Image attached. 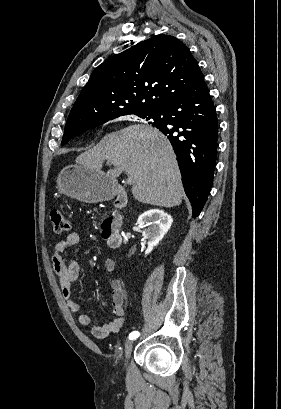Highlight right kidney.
<instances>
[{
  "mask_svg": "<svg viewBox=\"0 0 281 409\" xmlns=\"http://www.w3.org/2000/svg\"><path fill=\"white\" fill-rule=\"evenodd\" d=\"M172 223V217L161 211V209H150V211H145L140 215L137 225L148 227L142 233V237L148 239V249L145 251V255L151 253L153 247H156L159 241H162Z\"/></svg>",
  "mask_w": 281,
  "mask_h": 409,
  "instance_id": "right-kidney-1",
  "label": "right kidney"
}]
</instances>
